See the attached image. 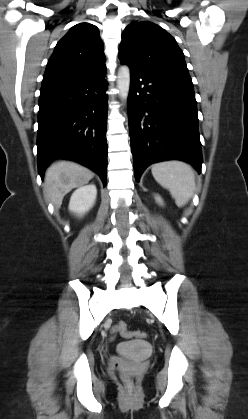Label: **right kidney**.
<instances>
[{"instance_id": "ca27d5eb", "label": "right kidney", "mask_w": 248, "mask_h": 419, "mask_svg": "<svg viewBox=\"0 0 248 419\" xmlns=\"http://www.w3.org/2000/svg\"><path fill=\"white\" fill-rule=\"evenodd\" d=\"M97 189L94 184L79 187L72 194L69 202V211L82 216L95 204Z\"/></svg>"}]
</instances>
